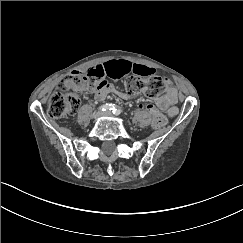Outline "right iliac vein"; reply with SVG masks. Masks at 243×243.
Segmentation results:
<instances>
[{
  "label": "right iliac vein",
  "mask_w": 243,
  "mask_h": 243,
  "mask_svg": "<svg viewBox=\"0 0 243 243\" xmlns=\"http://www.w3.org/2000/svg\"><path fill=\"white\" fill-rule=\"evenodd\" d=\"M102 115H103V112H101V111H97V112L94 113L93 118H94V119H98V118H100Z\"/></svg>",
  "instance_id": "right-iliac-vein-1"
}]
</instances>
